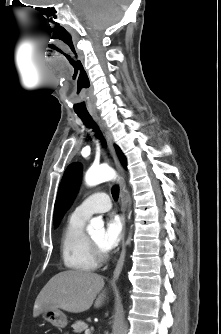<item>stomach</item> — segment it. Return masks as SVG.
I'll use <instances>...</instances> for the list:
<instances>
[{"instance_id":"1","label":"stomach","mask_w":221,"mask_h":334,"mask_svg":"<svg viewBox=\"0 0 221 334\" xmlns=\"http://www.w3.org/2000/svg\"><path fill=\"white\" fill-rule=\"evenodd\" d=\"M42 317L45 321L51 323L58 328L67 326V316L59 309H48L42 312Z\"/></svg>"}]
</instances>
